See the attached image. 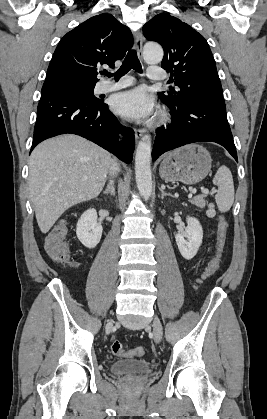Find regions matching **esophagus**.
I'll list each match as a JSON object with an SVG mask.
<instances>
[{"label":"esophagus","instance_id":"1","mask_svg":"<svg viewBox=\"0 0 267 419\" xmlns=\"http://www.w3.org/2000/svg\"><path fill=\"white\" fill-rule=\"evenodd\" d=\"M135 49L140 56L142 54V46H143V37L141 33H137L136 40H135ZM145 133L144 129H135V137L139 140Z\"/></svg>","mask_w":267,"mask_h":419}]
</instances>
